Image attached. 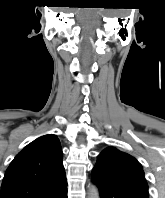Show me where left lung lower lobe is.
I'll list each match as a JSON object with an SVG mask.
<instances>
[{
  "label": "left lung lower lobe",
  "instance_id": "obj_1",
  "mask_svg": "<svg viewBox=\"0 0 165 198\" xmlns=\"http://www.w3.org/2000/svg\"><path fill=\"white\" fill-rule=\"evenodd\" d=\"M92 181L98 187L100 198H140L135 194L113 186L93 172Z\"/></svg>",
  "mask_w": 165,
  "mask_h": 198
}]
</instances>
